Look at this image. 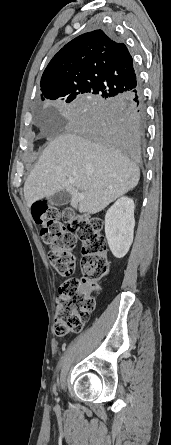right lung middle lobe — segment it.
Wrapping results in <instances>:
<instances>
[{"label": "right lung middle lobe", "instance_id": "1", "mask_svg": "<svg viewBox=\"0 0 171 445\" xmlns=\"http://www.w3.org/2000/svg\"><path fill=\"white\" fill-rule=\"evenodd\" d=\"M77 97H84L86 99V106L84 108L85 112L84 115L85 117L89 118L90 117V112L92 110V108L94 107V105L103 99V95L96 93V92H89V93H77V94H73L70 95L68 97H66L65 99H63L65 102L69 103L71 101H73L74 99H76Z\"/></svg>", "mask_w": 171, "mask_h": 445}]
</instances>
